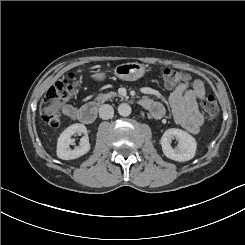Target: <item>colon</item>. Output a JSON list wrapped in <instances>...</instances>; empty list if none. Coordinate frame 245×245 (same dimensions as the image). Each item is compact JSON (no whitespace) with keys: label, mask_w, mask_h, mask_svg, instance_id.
<instances>
[{"label":"colon","mask_w":245,"mask_h":245,"mask_svg":"<svg viewBox=\"0 0 245 245\" xmlns=\"http://www.w3.org/2000/svg\"><path fill=\"white\" fill-rule=\"evenodd\" d=\"M161 77L165 87L173 88L184 81L186 75L176 69L165 68L162 70ZM77 85V77L69 74L45 92L39 105V113L46 124L51 127H58L61 124L60 108L75 92ZM202 109L209 119H214L218 114L216 98L213 95L207 96L202 101Z\"/></svg>","instance_id":"colon-1"}]
</instances>
